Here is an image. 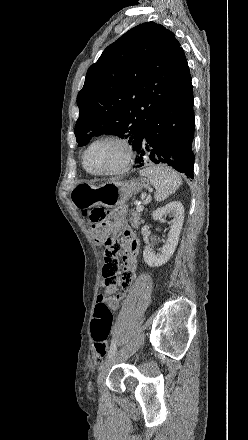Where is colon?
<instances>
[{"label":"colon","mask_w":248,"mask_h":440,"mask_svg":"<svg viewBox=\"0 0 248 440\" xmlns=\"http://www.w3.org/2000/svg\"><path fill=\"white\" fill-rule=\"evenodd\" d=\"M84 216L91 223V232L97 244L105 247L103 257H119L123 245L111 234L109 224L105 221L106 211L102 208L84 210ZM113 324V314L104 303L97 301L91 325L92 337L95 341L96 358L100 360L107 352V338Z\"/></svg>","instance_id":"colon-1"}]
</instances>
